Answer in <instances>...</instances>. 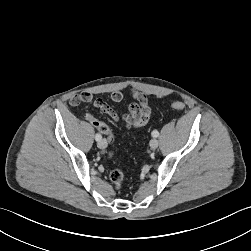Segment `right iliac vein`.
I'll use <instances>...</instances> for the list:
<instances>
[{
	"label": "right iliac vein",
	"mask_w": 251,
	"mask_h": 251,
	"mask_svg": "<svg viewBox=\"0 0 251 251\" xmlns=\"http://www.w3.org/2000/svg\"><path fill=\"white\" fill-rule=\"evenodd\" d=\"M97 145L100 149H105L107 147V141L104 139L99 140Z\"/></svg>",
	"instance_id": "right-iliac-vein-1"
}]
</instances>
